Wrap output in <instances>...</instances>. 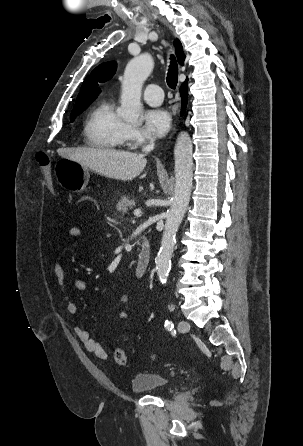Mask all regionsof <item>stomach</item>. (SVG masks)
Masks as SVG:
<instances>
[{
    "mask_svg": "<svg viewBox=\"0 0 303 446\" xmlns=\"http://www.w3.org/2000/svg\"><path fill=\"white\" fill-rule=\"evenodd\" d=\"M90 169L68 158H61L55 165L58 183L71 192H82L88 182Z\"/></svg>",
    "mask_w": 303,
    "mask_h": 446,
    "instance_id": "0dacf381",
    "label": "stomach"
}]
</instances>
